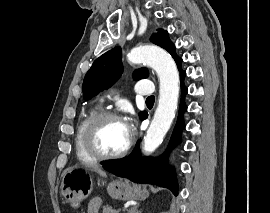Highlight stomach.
Here are the masks:
<instances>
[{"label": "stomach", "mask_w": 270, "mask_h": 213, "mask_svg": "<svg viewBox=\"0 0 270 213\" xmlns=\"http://www.w3.org/2000/svg\"><path fill=\"white\" fill-rule=\"evenodd\" d=\"M94 175L91 169L68 168L62 174L61 194L71 208H78L88 198L93 188ZM108 194L119 200H144L148 191L127 180H112L107 184Z\"/></svg>", "instance_id": "obj_1"}]
</instances>
